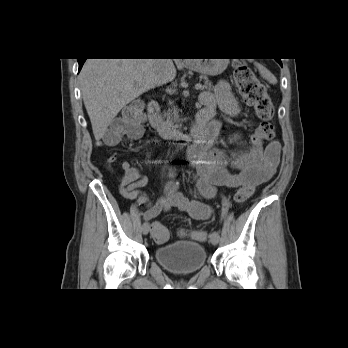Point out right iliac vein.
I'll return each instance as SVG.
<instances>
[{
  "label": "right iliac vein",
  "mask_w": 348,
  "mask_h": 348,
  "mask_svg": "<svg viewBox=\"0 0 348 348\" xmlns=\"http://www.w3.org/2000/svg\"><path fill=\"white\" fill-rule=\"evenodd\" d=\"M149 230H150V225L149 223L145 222L142 226V233L144 235H147L149 233Z\"/></svg>",
  "instance_id": "obj_1"
}]
</instances>
